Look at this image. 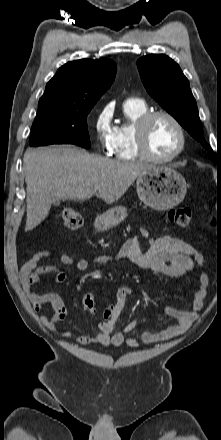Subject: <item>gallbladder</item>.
<instances>
[{
  "instance_id": "bac80fb5",
  "label": "gallbladder",
  "mask_w": 221,
  "mask_h": 440,
  "mask_svg": "<svg viewBox=\"0 0 221 440\" xmlns=\"http://www.w3.org/2000/svg\"><path fill=\"white\" fill-rule=\"evenodd\" d=\"M55 206H58V205H60V201L58 200V201H55L54 203H53Z\"/></svg>"
}]
</instances>
